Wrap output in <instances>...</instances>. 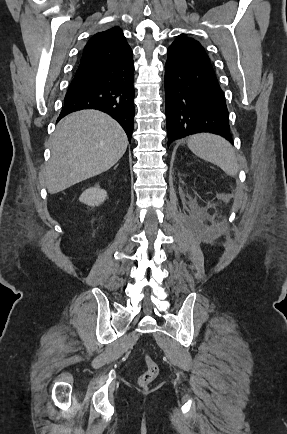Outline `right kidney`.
<instances>
[{
    "label": "right kidney",
    "instance_id": "ca27d5eb",
    "mask_svg": "<svg viewBox=\"0 0 287 434\" xmlns=\"http://www.w3.org/2000/svg\"><path fill=\"white\" fill-rule=\"evenodd\" d=\"M107 198V192L98 186L86 189L80 196V202L88 206H98L102 204Z\"/></svg>",
    "mask_w": 287,
    "mask_h": 434
}]
</instances>
